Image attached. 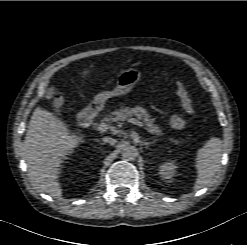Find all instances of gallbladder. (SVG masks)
I'll return each mask as SVG.
<instances>
[{"instance_id": "gallbladder-1", "label": "gallbladder", "mask_w": 247, "mask_h": 245, "mask_svg": "<svg viewBox=\"0 0 247 245\" xmlns=\"http://www.w3.org/2000/svg\"><path fill=\"white\" fill-rule=\"evenodd\" d=\"M53 91L52 90H48L47 94H46V98L48 99H52L53 98Z\"/></svg>"}]
</instances>
